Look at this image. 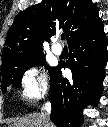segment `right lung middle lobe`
Segmentation results:
<instances>
[{
    "instance_id": "1",
    "label": "right lung middle lobe",
    "mask_w": 108,
    "mask_h": 127,
    "mask_svg": "<svg viewBox=\"0 0 108 127\" xmlns=\"http://www.w3.org/2000/svg\"><path fill=\"white\" fill-rule=\"evenodd\" d=\"M38 65H45L48 68L50 74L54 69L53 67L47 66L43 54L2 65L1 88L3 93L10 84H12L14 87H19L24 72L29 68Z\"/></svg>"
}]
</instances>
